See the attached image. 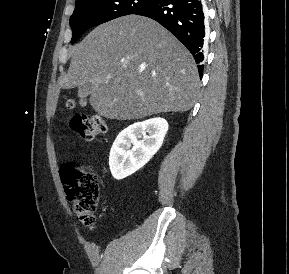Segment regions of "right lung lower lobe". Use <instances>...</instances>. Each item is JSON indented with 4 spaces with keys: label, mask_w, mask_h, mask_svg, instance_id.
<instances>
[{
    "label": "right lung lower lobe",
    "mask_w": 289,
    "mask_h": 274,
    "mask_svg": "<svg viewBox=\"0 0 289 274\" xmlns=\"http://www.w3.org/2000/svg\"><path fill=\"white\" fill-rule=\"evenodd\" d=\"M135 14L152 18L172 32L191 52L199 64L198 71L202 77L205 39L203 0H156Z\"/></svg>",
    "instance_id": "98d812e1"
}]
</instances>
